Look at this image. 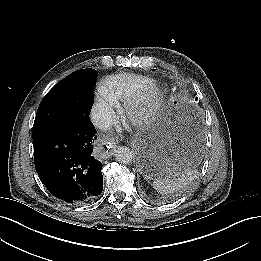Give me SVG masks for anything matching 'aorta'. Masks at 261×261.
<instances>
[{
  "label": "aorta",
  "mask_w": 261,
  "mask_h": 261,
  "mask_svg": "<svg viewBox=\"0 0 261 261\" xmlns=\"http://www.w3.org/2000/svg\"><path fill=\"white\" fill-rule=\"evenodd\" d=\"M114 157L119 163L129 164L132 162L134 152L126 146H119L115 150Z\"/></svg>",
  "instance_id": "1"
}]
</instances>
